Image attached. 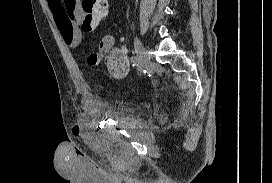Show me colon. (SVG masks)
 Returning <instances> with one entry per match:
<instances>
[{"mask_svg": "<svg viewBox=\"0 0 272 183\" xmlns=\"http://www.w3.org/2000/svg\"><path fill=\"white\" fill-rule=\"evenodd\" d=\"M107 8V0H68L67 19L72 22L78 14L79 26L84 32H90L106 17ZM96 62V55L89 57L90 65Z\"/></svg>", "mask_w": 272, "mask_h": 183, "instance_id": "5ec220e1", "label": "colon"}]
</instances>
